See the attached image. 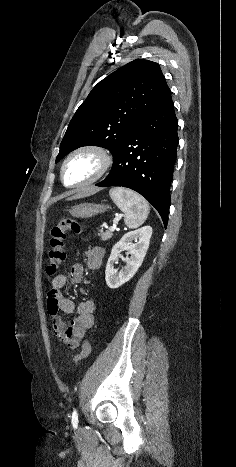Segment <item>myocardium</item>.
Here are the masks:
<instances>
[{
	"label": "myocardium",
	"mask_w": 236,
	"mask_h": 467,
	"mask_svg": "<svg viewBox=\"0 0 236 467\" xmlns=\"http://www.w3.org/2000/svg\"><path fill=\"white\" fill-rule=\"evenodd\" d=\"M84 152H89V153L95 154L99 158L100 168H99L98 172L92 178H90L89 180L84 181V182H80V183H75V184H68L65 181V168H66L68 162L73 157H75L78 154L84 153ZM113 162H114V159H113L112 153L109 151V149H107L104 146L97 145V144H87V145L80 146L77 149H75L74 151H72L66 157V159L64 160V162L62 164V167H61L62 182H63V184L65 186L72 187V188L83 187V186L93 184V183L97 182L98 180H100L102 177H104L108 173V171L111 169V167L113 165Z\"/></svg>",
	"instance_id": "obj_1"
}]
</instances>
